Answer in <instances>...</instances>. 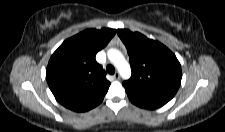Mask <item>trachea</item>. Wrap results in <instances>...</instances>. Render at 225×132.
<instances>
[{"mask_svg": "<svg viewBox=\"0 0 225 132\" xmlns=\"http://www.w3.org/2000/svg\"><path fill=\"white\" fill-rule=\"evenodd\" d=\"M106 71L109 74H114L115 73V68L112 65H107Z\"/></svg>", "mask_w": 225, "mask_h": 132, "instance_id": "trachea-1", "label": "trachea"}]
</instances>
